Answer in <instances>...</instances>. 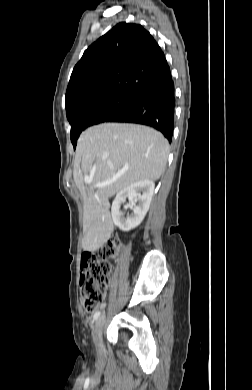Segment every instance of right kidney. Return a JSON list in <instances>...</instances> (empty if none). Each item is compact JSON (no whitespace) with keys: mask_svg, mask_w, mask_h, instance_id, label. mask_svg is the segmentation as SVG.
<instances>
[{"mask_svg":"<svg viewBox=\"0 0 252 390\" xmlns=\"http://www.w3.org/2000/svg\"><path fill=\"white\" fill-rule=\"evenodd\" d=\"M155 184L152 180H142L135 182L118 192L111 207V216L114 224L122 231L128 232L136 228L143 221L153 196ZM134 198L137 205L133 204L131 216H124L120 210L121 204L126 198Z\"/></svg>","mask_w":252,"mask_h":390,"instance_id":"obj_1","label":"right kidney"}]
</instances>
